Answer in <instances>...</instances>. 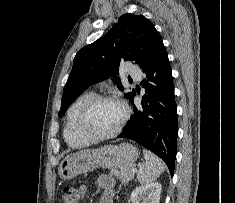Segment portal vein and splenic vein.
<instances>
[{
    "mask_svg": "<svg viewBox=\"0 0 235 203\" xmlns=\"http://www.w3.org/2000/svg\"><path fill=\"white\" fill-rule=\"evenodd\" d=\"M137 171V169L136 168H133V172H136Z\"/></svg>",
    "mask_w": 235,
    "mask_h": 203,
    "instance_id": "obj_1",
    "label": "portal vein and splenic vein"
}]
</instances>
